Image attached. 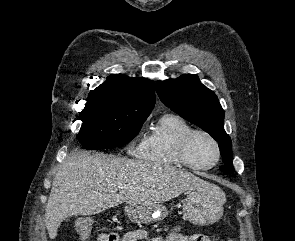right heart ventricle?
Returning a JSON list of instances; mask_svg holds the SVG:
<instances>
[{
  "label": "right heart ventricle",
  "mask_w": 295,
  "mask_h": 241,
  "mask_svg": "<svg viewBox=\"0 0 295 241\" xmlns=\"http://www.w3.org/2000/svg\"><path fill=\"white\" fill-rule=\"evenodd\" d=\"M192 129L186 119L178 114L166 113L153 126L136 150V155L149 163L177 167L182 162L177 155L181 138Z\"/></svg>",
  "instance_id": "obj_1"
}]
</instances>
